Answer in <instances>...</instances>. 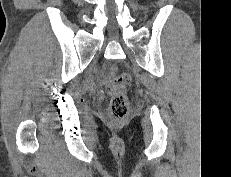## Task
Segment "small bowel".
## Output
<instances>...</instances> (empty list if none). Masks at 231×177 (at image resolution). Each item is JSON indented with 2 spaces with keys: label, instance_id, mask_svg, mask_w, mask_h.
<instances>
[{
  "label": "small bowel",
  "instance_id": "small-bowel-1",
  "mask_svg": "<svg viewBox=\"0 0 231 177\" xmlns=\"http://www.w3.org/2000/svg\"><path fill=\"white\" fill-rule=\"evenodd\" d=\"M115 71H116V68H115V67H111L110 73L113 74ZM107 80H108V78H104V79H103V83H106Z\"/></svg>",
  "mask_w": 231,
  "mask_h": 177
}]
</instances>
